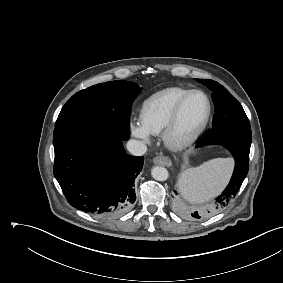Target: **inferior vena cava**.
<instances>
[{"instance_id": "inferior-vena-cava-1", "label": "inferior vena cava", "mask_w": 283, "mask_h": 283, "mask_svg": "<svg viewBox=\"0 0 283 283\" xmlns=\"http://www.w3.org/2000/svg\"><path fill=\"white\" fill-rule=\"evenodd\" d=\"M127 149L135 156H142L146 153L147 146L141 141L132 139L127 142Z\"/></svg>"}]
</instances>
